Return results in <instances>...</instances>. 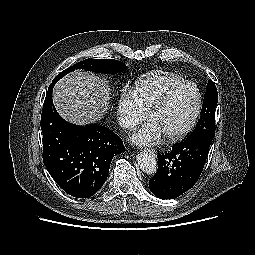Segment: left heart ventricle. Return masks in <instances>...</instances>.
<instances>
[{
  "label": "left heart ventricle",
  "mask_w": 255,
  "mask_h": 255,
  "mask_svg": "<svg viewBox=\"0 0 255 255\" xmlns=\"http://www.w3.org/2000/svg\"><path fill=\"white\" fill-rule=\"evenodd\" d=\"M197 105V91L194 86H186L177 92L170 102L151 117L163 135L182 130L192 118Z\"/></svg>",
  "instance_id": "left-heart-ventricle-1"
}]
</instances>
